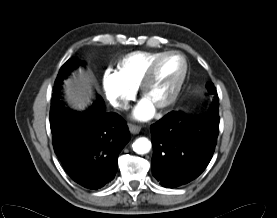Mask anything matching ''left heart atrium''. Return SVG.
<instances>
[{"label":"left heart atrium","instance_id":"1","mask_svg":"<svg viewBox=\"0 0 277 218\" xmlns=\"http://www.w3.org/2000/svg\"><path fill=\"white\" fill-rule=\"evenodd\" d=\"M154 105L146 98H143L135 107L133 115L138 120H147L154 114Z\"/></svg>","mask_w":277,"mask_h":218}]
</instances>
